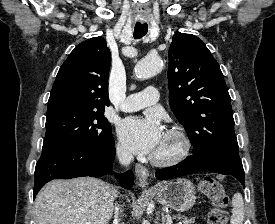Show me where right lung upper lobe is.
I'll use <instances>...</instances> for the list:
<instances>
[{
	"label": "right lung upper lobe",
	"instance_id": "obj_1",
	"mask_svg": "<svg viewBox=\"0 0 275 224\" xmlns=\"http://www.w3.org/2000/svg\"><path fill=\"white\" fill-rule=\"evenodd\" d=\"M110 59L103 37L77 45L58 71L47 114L64 109L104 110L109 106Z\"/></svg>",
	"mask_w": 275,
	"mask_h": 224
}]
</instances>
